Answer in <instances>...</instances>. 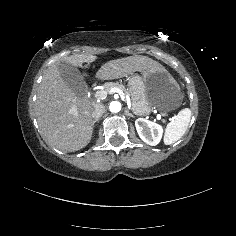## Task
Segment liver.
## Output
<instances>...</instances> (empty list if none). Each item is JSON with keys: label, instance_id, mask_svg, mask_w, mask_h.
<instances>
[{"label": "liver", "instance_id": "1", "mask_svg": "<svg viewBox=\"0 0 236 236\" xmlns=\"http://www.w3.org/2000/svg\"><path fill=\"white\" fill-rule=\"evenodd\" d=\"M95 56L75 54L64 57L72 64L81 60L93 61ZM57 62L51 64L45 71L40 83L37 100L36 115L38 125L46 141L58 149L77 151L86 146L92 134L91 111L94 101L79 99L57 70ZM145 73L163 71L161 63L148 56H130L105 63L96 73V78L110 80L122 78L134 71ZM75 107L78 116L72 113ZM67 126H71L67 128Z\"/></svg>", "mask_w": 236, "mask_h": 236}]
</instances>
